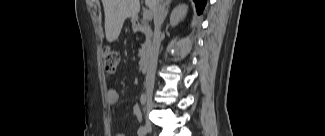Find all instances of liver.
Masks as SVG:
<instances>
[{
  "label": "liver",
  "mask_w": 325,
  "mask_h": 136,
  "mask_svg": "<svg viewBox=\"0 0 325 136\" xmlns=\"http://www.w3.org/2000/svg\"><path fill=\"white\" fill-rule=\"evenodd\" d=\"M151 0H146L150 7ZM105 13V34L108 42L115 41L126 18H135L140 11V0H102Z\"/></svg>",
  "instance_id": "obj_1"
}]
</instances>
